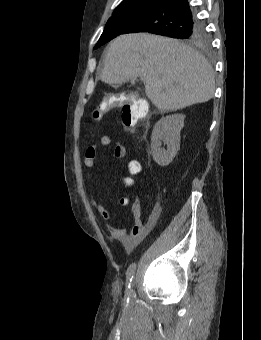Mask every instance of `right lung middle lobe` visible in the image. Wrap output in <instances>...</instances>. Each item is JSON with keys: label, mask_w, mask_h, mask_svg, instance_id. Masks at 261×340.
Segmentation results:
<instances>
[{"label": "right lung middle lobe", "mask_w": 261, "mask_h": 340, "mask_svg": "<svg viewBox=\"0 0 261 340\" xmlns=\"http://www.w3.org/2000/svg\"><path fill=\"white\" fill-rule=\"evenodd\" d=\"M157 5V2L150 1L119 5L113 12L112 17L108 20L105 29L94 49L122 34L138 19L151 11ZM173 38L184 39L188 43L200 46H207L209 44V37L200 21H198L194 27H191V29L185 31L183 34L180 33L174 35Z\"/></svg>", "instance_id": "1"}]
</instances>
